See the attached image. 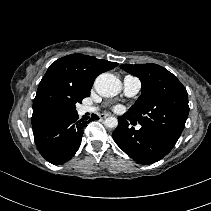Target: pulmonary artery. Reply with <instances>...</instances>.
<instances>
[{
    "mask_svg": "<svg viewBox=\"0 0 211 211\" xmlns=\"http://www.w3.org/2000/svg\"><path fill=\"white\" fill-rule=\"evenodd\" d=\"M141 89V81L134 76L128 75L123 80V91L127 97L135 96ZM98 110L97 107L84 106L81 108L82 113H93ZM140 128V127H138Z\"/></svg>",
    "mask_w": 211,
    "mask_h": 211,
    "instance_id": "obj_1",
    "label": "pulmonary artery"
}]
</instances>
